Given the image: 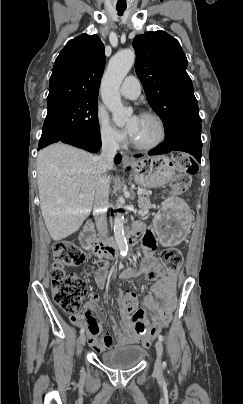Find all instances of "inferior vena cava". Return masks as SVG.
Here are the masks:
<instances>
[{
  "mask_svg": "<svg viewBox=\"0 0 243 404\" xmlns=\"http://www.w3.org/2000/svg\"><path fill=\"white\" fill-rule=\"evenodd\" d=\"M117 150H119V144H117L116 138L109 136V134H104V136H102L101 156H98L96 190L93 208V216L95 218L96 228L104 244H106L108 236L106 220L110 186V176H108V170H112L113 168V160Z\"/></svg>",
  "mask_w": 243,
  "mask_h": 404,
  "instance_id": "obj_1",
  "label": "inferior vena cava"
}]
</instances>
